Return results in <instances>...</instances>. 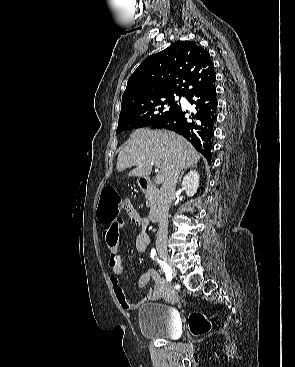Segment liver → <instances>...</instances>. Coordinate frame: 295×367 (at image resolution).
<instances>
[{"instance_id": "6515ba94", "label": "liver", "mask_w": 295, "mask_h": 367, "mask_svg": "<svg viewBox=\"0 0 295 367\" xmlns=\"http://www.w3.org/2000/svg\"><path fill=\"white\" fill-rule=\"evenodd\" d=\"M200 154L182 136L166 130H135L118 155L117 170L135 167L129 176L147 177L155 164L160 174L167 177L171 169L195 165Z\"/></svg>"}]
</instances>
